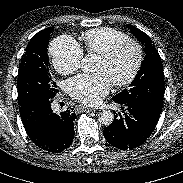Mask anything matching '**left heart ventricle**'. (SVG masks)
Wrapping results in <instances>:
<instances>
[{
	"mask_svg": "<svg viewBox=\"0 0 183 183\" xmlns=\"http://www.w3.org/2000/svg\"><path fill=\"white\" fill-rule=\"evenodd\" d=\"M136 57V49L133 46H127L110 61H105L99 57L95 70L104 72L111 82L122 80L131 73Z\"/></svg>",
	"mask_w": 183,
	"mask_h": 183,
	"instance_id": "1",
	"label": "left heart ventricle"
}]
</instances>
